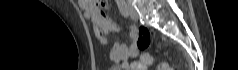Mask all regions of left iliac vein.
I'll use <instances>...</instances> for the list:
<instances>
[{
    "label": "left iliac vein",
    "mask_w": 238,
    "mask_h": 70,
    "mask_svg": "<svg viewBox=\"0 0 238 70\" xmlns=\"http://www.w3.org/2000/svg\"><path fill=\"white\" fill-rule=\"evenodd\" d=\"M127 9H128L129 14H130V17H131L133 20H138L139 16H138V13H137V11L135 10V8H134L132 5L128 4V5H127Z\"/></svg>",
    "instance_id": "4c4485c4"
}]
</instances>
